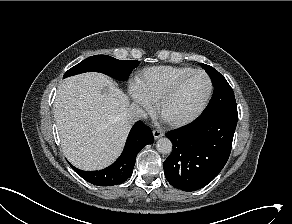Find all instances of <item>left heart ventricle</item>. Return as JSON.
<instances>
[{
    "mask_svg": "<svg viewBox=\"0 0 292 224\" xmlns=\"http://www.w3.org/2000/svg\"><path fill=\"white\" fill-rule=\"evenodd\" d=\"M208 91L207 78L196 74L189 78L162 109L166 120H179L188 117L202 104Z\"/></svg>",
    "mask_w": 292,
    "mask_h": 224,
    "instance_id": "obj_1",
    "label": "left heart ventricle"
}]
</instances>
